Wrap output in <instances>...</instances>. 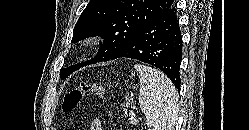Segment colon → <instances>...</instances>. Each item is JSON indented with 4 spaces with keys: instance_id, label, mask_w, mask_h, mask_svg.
I'll use <instances>...</instances> for the list:
<instances>
[{
    "instance_id": "1",
    "label": "colon",
    "mask_w": 249,
    "mask_h": 130,
    "mask_svg": "<svg viewBox=\"0 0 249 130\" xmlns=\"http://www.w3.org/2000/svg\"><path fill=\"white\" fill-rule=\"evenodd\" d=\"M104 94L103 88L97 83L82 81L65 94L62 109L64 112H71L78 107L83 99L89 96L103 99Z\"/></svg>"
}]
</instances>
